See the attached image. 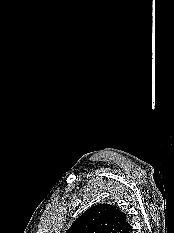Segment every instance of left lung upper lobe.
<instances>
[{
    "label": "left lung upper lobe",
    "mask_w": 174,
    "mask_h": 233,
    "mask_svg": "<svg viewBox=\"0 0 174 233\" xmlns=\"http://www.w3.org/2000/svg\"><path fill=\"white\" fill-rule=\"evenodd\" d=\"M128 227L125 213L110 204H98L79 216L66 233H123Z\"/></svg>",
    "instance_id": "obj_1"
}]
</instances>
